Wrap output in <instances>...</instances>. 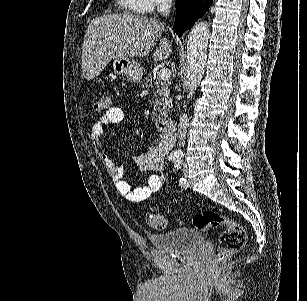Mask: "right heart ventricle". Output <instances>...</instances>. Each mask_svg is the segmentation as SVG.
<instances>
[{"label":"right heart ventricle","mask_w":307,"mask_h":301,"mask_svg":"<svg viewBox=\"0 0 307 301\" xmlns=\"http://www.w3.org/2000/svg\"><path fill=\"white\" fill-rule=\"evenodd\" d=\"M141 1L142 0H120V4H128L124 5V12H133L134 8H141Z\"/></svg>","instance_id":"right-heart-ventricle-1"}]
</instances>
